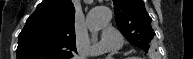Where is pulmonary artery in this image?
<instances>
[{"instance_id": "e3ab8cb5", "label": "pulmonary artery", "mask_w": 193, "mask_h": 59, "mask_svg": "<svg viewBox=\"0 0 193 59\" xmlns=\"http://www.w3.org/2000/svg\"><path fill=\"white\" fill-rule=\"evenodd\" d=\"M121 35L111 26L103 28L102 39L94 44L89 51L91 56L99 55L105 48L118 49L121 46Z\"/></svg>"}]
</instances>
